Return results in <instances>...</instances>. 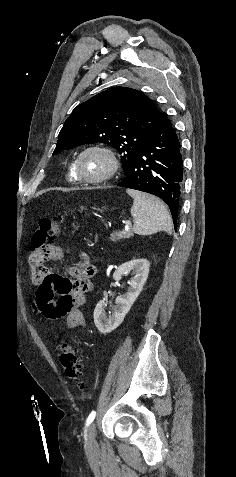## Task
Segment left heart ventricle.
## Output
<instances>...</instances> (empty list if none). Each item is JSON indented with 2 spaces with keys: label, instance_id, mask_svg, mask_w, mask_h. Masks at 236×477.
Wrapping results in <instances>:
<instances>
[{
  "label": "left heart ventricle",
  "instance_id": "1",
  "mask_svg": "<svg viewBox=\"0 0 236 477\" xmlns=\"http://www.w3.org/2000/svg\"><path fill=\"white\" fill-rule=\"evenodd\" d=\"M108 168V160L97 152L87 153L80 162L81 173L90 178L101 176Z\"/></svg>",
  "mask_w": 236,
  "mask_h": 477
}]
</instances>
